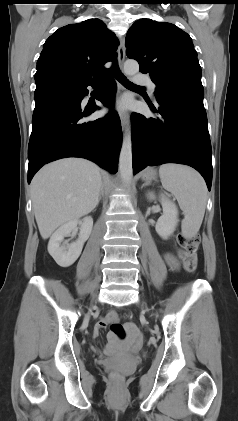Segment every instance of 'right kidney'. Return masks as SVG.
<instances>
[{"label":"right kidney","instance_id":"ca27d5eb","mask_svg":"<svg viewBox=\"0 0 238 421\" xmlns=\"http://www.w3.org/2000/svg\"><path fill=\"white\" fill-rule=\"evenodd\" d=\"M80 224L79 238L76 242L68 244L63 242L64 237L77 228ZM93 227V219L87 216L80 220H72L58 228L51 236L48 243V252L61 267L71 266L80 256L83 245L89 238Z\"/></svg>","mask_w":238,"mask_h":421}]
</instances>
